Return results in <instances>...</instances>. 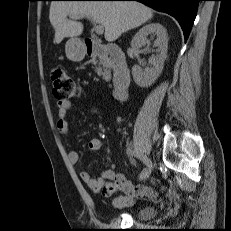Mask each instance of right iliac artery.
Returning <instances> with one entry per match:
<instances>
[{
	"mask_svg": "<svg viewBox=\"0 0 231 231\" xmlns=\"http://www.w3.org/2000/svg\"><path fill=\"white\" fill-rule=\"evenodd\" d=\"M127 154L128 155H134L136 156L138 159H140L145 165H147V161H148V158L142 154H139L138 152H135V151H132L131 149H128L127 150ZM151 173V170L149 168H144L143 171L141 172V175H140V180H146L149 175Z\"/></svg>",
	"mask_w": 231,
	"mask_h": 231,
	"instance_id": "82829eb1",
	"label": "right iliac artery"
}]
</instances>
